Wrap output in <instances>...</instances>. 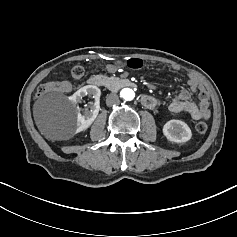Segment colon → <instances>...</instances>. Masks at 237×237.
<instances>
[{
    "instance_id": "1",
    "label": "colon",
    "mask_w": 237,
    "mask_h": 237,
    "mask_svg": "<svg viewBox=\"0 0 237 237\" xmlns=\"http://www.w3.org/2000/svg\"><path fill=\"white\" fill-rule=\"evenodd\" d=\"M113 64H123L126 67L132 69V70H139L143 67V61L141 59L138 58H130L128 60H126L125 62H114ZM84 74V68L80 65L75 66L72 69V75L76 78H80L82 77ZM51 85L49 83L47 84H43L38 88V96H43L46 93L51 91ZM196 130L198 133L200 134H205L208 130V125L205 122H199L196 125Z\"/></svg>"
}]
</instances>
